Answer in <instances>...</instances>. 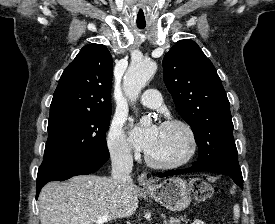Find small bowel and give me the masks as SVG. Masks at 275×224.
<instances>
[{"instance_id":"1","label":"small bowel","mask_w":275,"mask_h":224,"mask_svg":"<svg viewBox=\"0 0 275 224\" xmlns=\"http://www.w3.org/2000/svg\"><path fill=\"white\" fill-rule=\"evenodd\" d=\"M192 224H205L202 220H194Z\"/></svg>"}]
</instances>
